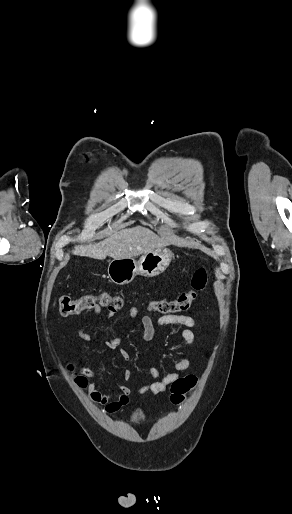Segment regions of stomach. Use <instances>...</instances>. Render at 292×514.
<instances>
[{
  "label": "stomach",
  "instance_id": "1",
  "mask_svg": "<svg viewBox=\"0 0 292 514\" xmlns=\"http://www.w3.org/2000/svg\"><path fill=\"white\" fill-rule=\"evenodd\" d=\"M171 258L168 250L157 248V250L146 252L139 260H135V258L112 260L108 266V276L113 284H118V286L130 284L137 274L153 278L168 268Z\"/></svg>",
  "mask_w": 292,
  "mask_h": 514
}]
</instances>
